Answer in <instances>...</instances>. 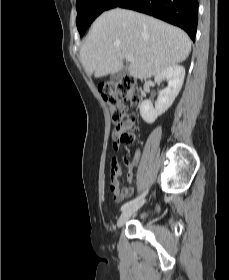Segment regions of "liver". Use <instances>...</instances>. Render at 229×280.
Masks as SVG:
<instances>
[{
	"mask_svg": "<svg viewBox=\"0 0 229 280\" xmlns=\"http://www.w3.org/2000/svg\"><path fill=\"white\" fill-rule=\"evenodd\" d=\"M191 51V40L181 29L163 21L126 9L102 13L93 23L80 50L87 75L113 74L123 68V59L134 58L130 75L151 78L184 61Z\"/></svg>",
	"mask_w": 229,
	"mask_h": 280,
	"instance_id": "1",
	"label": "liver"
}]
</instances>
